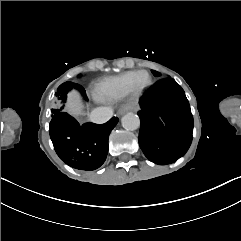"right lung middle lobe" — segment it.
Here are the masks:
<instances>
[{
  "instance_id": "obj_1",
  "label": "right lung middle lobe",
  "mask_w": 241,
  "mask_h": 241,
  "mask_svg": "<svg viewBox=\"0 0 241 241\" xmlns=\"http://www.w3.org/2000/svg\"><path fill=\"white\" fill-rule=\"evenodd\" d=\"M72 87H73L72 82H65L58 87L57 91L55 92V96L52 104L53 106V108L51 109L52 116L60 112H64L67 93L71 90Z\"/></svg>"
}]
</instances>
